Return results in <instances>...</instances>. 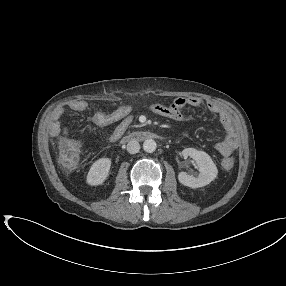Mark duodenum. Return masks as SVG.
Wrapping results in <instances>:
<instances>
[{"mask_svg":"<svg viewBox=\"0 0 286 286\" xmlns=\"http://www.w3.org/2000/svg\"><path fill=\"white\" fill-rule=\"evenodd\" d=\"M157 137V135L147 132V131H137L133 132L122 139L123 143L131 142V141H146L152 138Z\"/></svg>","mask_w":286,"mask_h":286,"instance_id":"1","label":"duodenum"}]
</instances>
